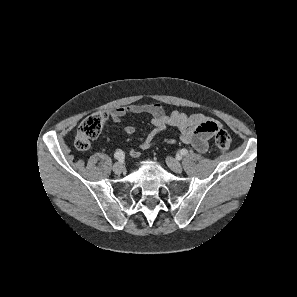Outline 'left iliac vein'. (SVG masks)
I'll return each mask as SVG.
<instances>
[{"instance_id":"4c4485c4","label":"left iliac vein","mask_w":297,"mask_h":297,"mask_svg":"<svg viewBox=\"0 0 297 297\" xmlns=\"http://www.w3.org/2000/svg\"><path fill=\"white\" fill-rule=\"evenodd\" d=\"M166 163L172 171L176 173L182 172V165L176 159L172 157H167Z\"/></svg>"}]
</instances>
